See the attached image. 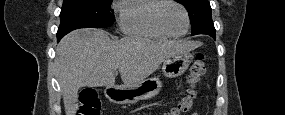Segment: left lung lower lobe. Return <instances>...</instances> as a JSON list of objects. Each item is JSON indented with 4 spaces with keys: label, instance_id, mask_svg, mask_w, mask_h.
Here are the masks:
<instances>
[{
    "label": "left lung lower lobe",
    "instance_id": "1",
    "mask_svg": "<svg viewBox=\"0 0 285 115\" xmlns=\"http://www.w3.org/2000/svg\"><path fill=\"white\" fill-rule=\"evenodd\" d=\"M207 35H210L212 38H214L215 39V30L214 31H212V32H208V34Z\"/></svg>",
    "mask_w": 285,
    "mask_h": 115
}]
</instances>
